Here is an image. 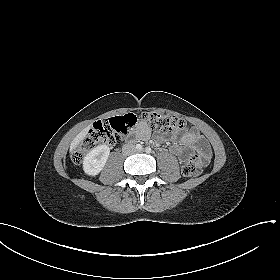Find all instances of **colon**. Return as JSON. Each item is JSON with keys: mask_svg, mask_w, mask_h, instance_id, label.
I'll use <instances>...</instances> for the list:
<instances>
[{"mask_svg": "<svg viewBox=\"0 0 280 280\" xmlns=\"http://www.w3.org/2000/svg\"><path fill=\"white\" fill-rule=\"evenodd\" d=\"M141 118L155 131L176 132L186 127V122L174 115L144 112ZM137 119V115L131 113L122 117L97 121L84 138L75 145L72 153L73 161L80 163L87 152L99 145L113 146L120 143ZM208 161V152L192 154L182 166L183 175L187 177L200 175Z\"/></svg>", "mask_w": 280, "mask_h": 280, "instance_id": "obj_1", "label": "colon"}]
</instances>
